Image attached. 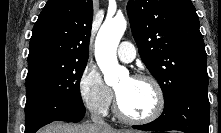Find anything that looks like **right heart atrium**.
Returning a JSON list of instances; mask_svg holds the SVG:
<instances>
[{
  "mask_svg": "<svg viewBox=\"0 0 221 133\" xmlns=\"http://www.w3.org/2000/svg\"><path fill=\"white\" fill-rule=\"evenodd\" d=\"M78 93L85 108L96 115L106 114L114 100L112 90L93 65H87L83 69L78 82Z\"/></svg>",
  "mask_w": 221,
  "mask_h": 133,
  "instance_id": "1",
  "label": "right heart atrium"
}]
</instances>
